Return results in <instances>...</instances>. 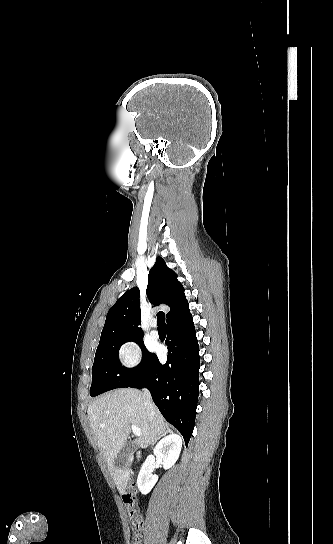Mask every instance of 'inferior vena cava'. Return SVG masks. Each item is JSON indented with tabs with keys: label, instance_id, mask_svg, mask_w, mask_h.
Wrapping results in <instances>:
<instances>
[{
	"label": "inferior vena cava",
	"instance_id": "obj_1",
	"mask_svg": "<svg viewBox=\"0 0 333 544\" xmlns=\"http://www.w3.org/2000/svg\"><path fill=\"white\" fill-rule=\"evenodd\" d=\"M143 399L148 416L150 417V420H152L155 414V406L152 402L151 394L148 390H144Z\"/></svg>",
	"mask_w": 333,
	"mask_h": 544
}]
</instances>
